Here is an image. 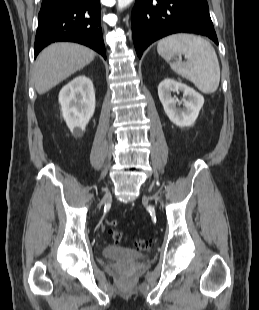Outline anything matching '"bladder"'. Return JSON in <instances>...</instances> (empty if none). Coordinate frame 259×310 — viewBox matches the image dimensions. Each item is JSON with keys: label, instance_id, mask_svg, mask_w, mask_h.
I'll list each match as a JSON object with an SVG mask.
<instances>
[{"label": "bladder", "instance_id": "1", "mask_svg": "<svg viewBox=\"0 0 259 310\" xmlns=\"http://www.w3.org/2000/svg\"><path fill=\"white\" fill-rule=\"evenodd\" d=\"M102 256L104 259L112 261H136L144 257V255L139 252L116 245L104 247Z\"/></svg>", "mask_w": 259, "mask_h": 310}]
</instances>
